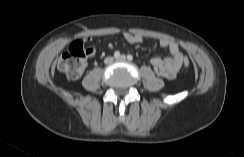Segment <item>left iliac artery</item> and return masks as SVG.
<instances>
[{
  "label": "left iliac artery",
  "mask_w": 244,
  "mask_h": 157,
  "mask_svg": "<svg viewBox=\"0 0 244 157\" xmlns=\"http://www.w3.org/2000/svg\"><path fill=\"white\" fill-rule=\"evenodd\" d=\"M127 58H128V60H133V56L131 55V54H129L128 56H127Z\"/></svg>",
  "instance_id": "1"
}]
</instances>
